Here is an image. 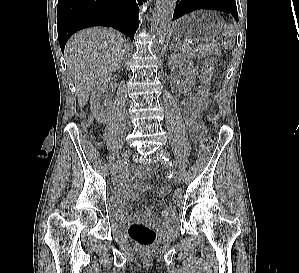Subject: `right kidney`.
Masks as SVG:
<instances>
[{"label": "right kidney", "mask_w": 299, "mask_h": 273, "mask_svg": "<svg viewBox=\"0 0 299 273\" xmlns=\"http://www.w3.org/2000/svg\"><path fill=\"white\" fill-rule=\"evenodd\" d=\"M113 79H115V77L105 75L99 78L92 88L90 97L91 110L95 118L99 121H103L105 119L106 108L112 103L108 98L105 99L103 104H101V101L104 99L103 94L108 86V83Z\"/></svg>", "instance_id": "1"}]
</instances>
